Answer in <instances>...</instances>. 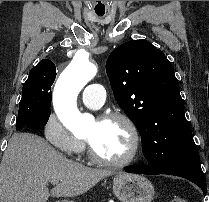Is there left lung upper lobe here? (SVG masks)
I'll use <instances>...</instances> for the list:
<instances>
[{
  "label": "left lung upper lobe",
  "instance_id": "left-lung-upper-lobe-1",
  "mask_svg": "<svg viewBox=\"0 0 209 202\" xmlns=\"http://www.w3.org/2000/svg\"><path fill=\"white\" fill-rule=\"evenodd\" d=\"M106 71L150 166H167L196 146L173 66L161 50L143 39L128 41L111 52Z\"/></svg>",
  "mask_w": 209,
  "mask_h": 202
}]
</instances>
